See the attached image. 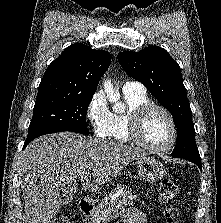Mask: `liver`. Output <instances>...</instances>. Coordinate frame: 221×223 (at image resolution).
Segmentation results:
<instances>
[{"label":"liver","instance_id":"6515ba94","mask_svg":"<svg viewBox=\"0 0 221 223\" xmlns=\"http://www.w3.org/2000/svg\"><path fill=\"white\" fill-rule=\"evenodd\" d=\"M146 151L71 132L40 136L23 151L18 164L25 200L23 223H55L63 203L60 192L73 194L77 181L92 175L82 188L96 191Z\"/></svg>","mask_w":221,"mask_h":223}]
</instances>
